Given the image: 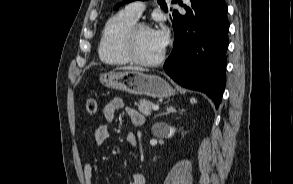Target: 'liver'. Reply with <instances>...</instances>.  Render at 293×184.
I'll return each instance as SVG.
<instances>
[{
  "label": "liver",
  "instance_id": "6515ba94",
  "mask_svg": "<svg viewBox=\"0 0 293 184\" xmlns=\"http://www.w3.org/2000/svg\"><path fill=\"white\" fill-rule=\"evenodd\" d=\"M119 69L129 70V71H144L142 68L135 67V66H127V67H123V68H119Z\"/></svg>",
  "mask_w": 293,
  "mask_h": 184
}]
</instances>
